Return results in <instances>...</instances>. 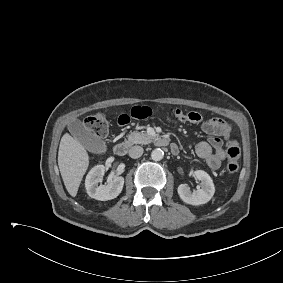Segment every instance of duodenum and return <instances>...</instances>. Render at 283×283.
I'll return each mask as SVG.
<instances>
[{
    "instance_id": "1",
    "label": "duodenum",
    "mask_w": 283,
    "mask_h": 283,
    "mask_svg": "<svg viewBox=\"0 0 283 283\" xmlns=\"http://www.w3.org/2000/svg\"><path fill=\"white\" fill-rule=\"evenodd\" d=\"M156 143L158 146L166 147L169 145V140L165 137H160L156 140ZM129 148L130 145L126 142L118 143L114 147V154L117 156H125L128 153ZM170 149L173 154H177L179 152L178 146L176 144H171Z\"/></svg>"
}]
</instances>
